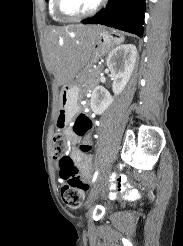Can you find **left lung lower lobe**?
Segmentation results:
<instances>
[{
    "label": "left lung lower lobe",
    "instance_id": "0a47b994",
    "mask_svg": "<svg viewBox=\"0 0 183 246\" xmlns=\"http://www.w3.org/2000/svg\"><path fill=\"white\" fill-rule=\"evenodd\" d=\"M144 11L145 0H108L105 9L82 23L102 24L142 37Z\"/></svg>",
    "mask_w": 183,
    "mask_h": 246
}]
</instances>
